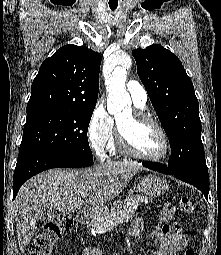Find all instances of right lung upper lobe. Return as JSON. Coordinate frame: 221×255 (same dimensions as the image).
Listing matches in <instances>:
<instances>
[{
    "instance_id": "right-lung-upper-lobe-1",
    "label": "right lung upper lobe",
    "mask_w": 221,
    "mask_h": 255,
    "mask_svg": "<svg viewBox=\"0 0 221 255\" xmlns=\"http://www.w3.org/2000/svg\"><path fill=\"white\" fill-rule=\"evenodd\" d=\"M101 55L85 46L66 45L47 58L31 86L27 112L46 108L95 107Z\"/></svg>"
}]
</instances>
